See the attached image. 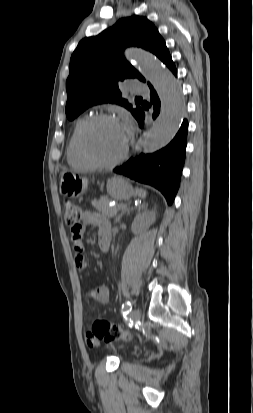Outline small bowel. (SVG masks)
<instances>
[{
	"label": "small bowel",
	"mask_w": 253,
	"mask_h": 413,
	"mask_svg": "<svg viewBox=\"0 0 253 413\" xmlns=\"http://www.w3.org/2000/svg\"><path fill=\"white\" fill-rule=\"evenodd\" d=\"M95 225L99 229V236L103 233L110 234V224L105 215L97 211H84L82 213V223L75 229H72V242L76 251L74 260L79 269H84L87 266V260L82 253V234L85 226ZM88 299L97 300L101 304H107L110 299L109 290L106 286H95L87 292ZM88 346L95 347L99 345V341L90 339L86 335Z\"/></svg>",
	"instance_id": "obj_1"
}]
</instances>
